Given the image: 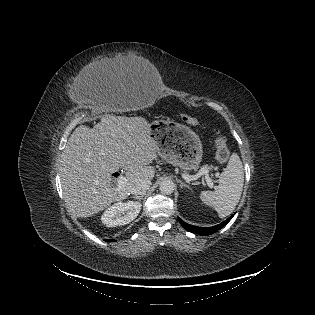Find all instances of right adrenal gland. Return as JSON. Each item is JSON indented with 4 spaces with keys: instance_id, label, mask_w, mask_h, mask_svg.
I'll return each instance as SVG.
<instances>
[{
    "instance_id": "2a0ac1e0",
    "label": "right adrenal gland",
    "mask_w": 315,
    "mask_h": 315,
    "mask_svg": "<svg viewBox=\"0 0 315 315\" xmlns=\"http://www.w3.org/2000/svg\"><path fill=\"white\" fill-rule=\"evenodd\" d=\"M143 195L142 196H134L133 198L135 199V200H139V201H141V199H143Z\"/></svg>"
}]
</instances>
